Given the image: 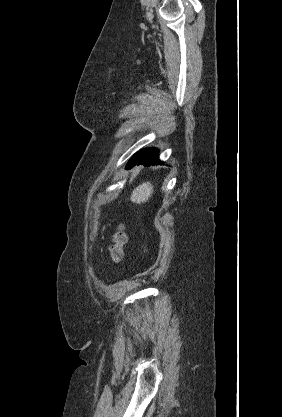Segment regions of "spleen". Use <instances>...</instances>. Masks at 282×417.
<instances>
[{
  "mask_svg": "<svg viewBox=\"0 0 282 417\" xmlns=\"http://www.w3.org/2000/svg\"><path fill=\"white\" fill-rule=\"evenodd\" d=\"M153 186L151 182H142L139 186L134 188L130 198L132 202H137V204H141V202H147L150 196L153 194Z\"/></svg>",
  "mask_w": 282,
  "mask_h": 417,
  "instance_id": "spleen-1",
  "label": "spleen"
}]
</instances>
